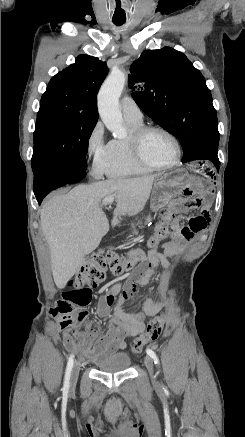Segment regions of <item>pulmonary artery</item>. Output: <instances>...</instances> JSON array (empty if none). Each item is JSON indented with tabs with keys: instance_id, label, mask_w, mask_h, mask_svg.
<instances>
[{
	"instance_id": "1",
	"label": "pulmonary artery",
	"mask_w": 245,
	"mask_h": 437,
	"mask_svg": "<svg viewBox=\"0 0 245 437\" xmlns=\"http://www.w3.org/2000/svg\"><path fill=\"white\" fill-rule=\"evenodd\" d=\"M120 107L125 120L142 122V112L131 97H124L121 100Z\"/></svg>"
}]
</instances>
